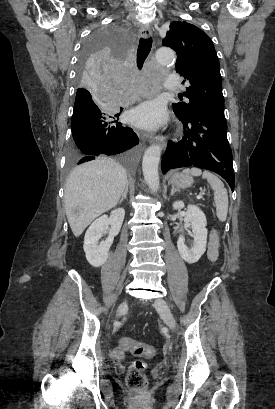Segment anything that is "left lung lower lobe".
Wrapping results in <instances>:
<instances>
[{"label": "left lung lower lobe", "mask_w": 275, "mask_h": 409, "mask_svg": "<svg viewBox=\"0 0 275 409\" xmlns=\"http://www.w3.org/2000/svg\"><path fill=\"white\" fill-rule=\"evenodd\" d=\"M179 120L185 129L184 136L177 143H168L162 159V172L187 166L208 169L222 176L233 191L232 151L224 114L203 111Z\"/></svg>", "instance_id": "obj_1"}]
</instances>
